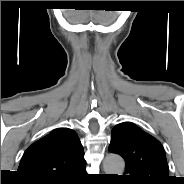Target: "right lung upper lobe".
I'll return each instance as SVG.
<instances>
[{"label": "right lung upper lobe", "instance_id": "cb5924a9", "mask_svg": "<svg viewBox=\"0 0 184 184\" xmlns=\"http://www.w3.org/2000/svg\"><path fill=\"white\" fill-rule=\"evenodd\" d=\"M85 169L83 146L75 131L57 128L33 143L24 153L18 172L26 181H69Z\"/></svg>", "mask_w": 184, "mask_h": 184}]
</instances>
